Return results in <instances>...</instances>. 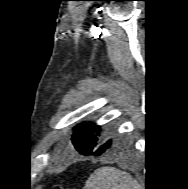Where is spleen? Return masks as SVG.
<instances>
[{
  "mask_svg": "<svg viewBox=\"0 0 188 189\" xmlns=\"http://www.w3.org/2000/svg\"><path fill=\"white\" fill-rule=\"evenodd\" d=\"M130 174L112 167H101L87 180L84 189H136Z\"/></svg>",
  "mask_w": 188,
  "mask_h": 189,
  "instance_id": "spleen-1",
  "label": "spleen"
}]
</instances>
